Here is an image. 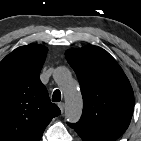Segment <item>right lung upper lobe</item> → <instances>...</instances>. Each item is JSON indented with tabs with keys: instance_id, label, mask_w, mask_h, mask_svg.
I'll use <instances>...</instances> for the list:
<instances>
[{
	"instance_id": "obj_1",
	"label": "right lung upper lobe",
	"mask_w": 141,
	"mask_h": 141,
	"mask_svg": "<svg viewBox=\"0 0 141 141\" xmlns=\"http://www.w3.org/2000/svg\"><path fill=\"white\" fill-rule=\"evenodd\" d=\"M48 49L21 46L0 62V141H39L61 112L39 79Z\"/></svg>"
}]
</instances>
